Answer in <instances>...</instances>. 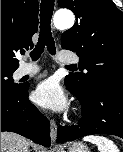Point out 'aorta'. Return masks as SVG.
<instances>
[{
	"mask_svg": "<svg viewBox=\"0 0 123 152\" xmlns=\"http://www.w3.org/2000/svg\"><path fill=\"white\" fill-rule=\"evenodd\" d=\"M75 17L71 11H58L54 15V26L59 30H66L74 25Z\"/></svg>",
	"mask_w": 123,
	"mask_h": 152,
	"instance_id": "762f6f07",
	"label": "aorta"
}]
</instances>
